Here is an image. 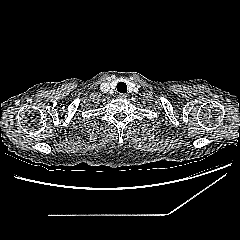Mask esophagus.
Returning <instances> with one entry per match:
<instances>
[{"label": "esophagus", "instance_id": "1", "mask_svg": "<svg viewBox=\"0 0 240 240\" xmlns=\"http://www.w3.org/2000/svg\"><path fill=\"white\" fill-rule=\"evenodd\" d=\"M126 97H127V95L124 94V93L118 94V98H119V99H126Z\"/></svg>", "mask_w": 240, "mask_h": 240}]
</instances>
